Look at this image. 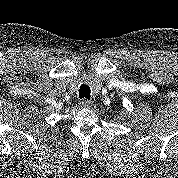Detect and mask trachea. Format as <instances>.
I'll return each instance as SVG.
<instances>
[{
  "label": "trachea",
  "instance_id": "trachea-1",
  "mask_svg": "<svg viewBox=\"0 0 178 178\" xmlns=\"http://www.w3.org/2000/svg\"><path fill=\"white\" fill-rule=\"evenodd\" d=\"M90 94H91V90L88 85L83 84L80 86V88H79V97L80 98L90 99Z\"/></svg>",
  "mask_w": 178,
  "mask_h": 178
}]
</instances>
